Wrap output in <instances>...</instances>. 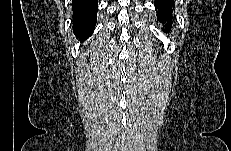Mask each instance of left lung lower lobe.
I'll return each mask as SVG.
<instances>
[{
	"mask_svg": "<svg viewBox=\"0 0 231 151\" xmlns=\"http://www.w3.org/2000/svg\"><path fill=\"white\" fill-rule=\"evenodd\" d=\"M173 0H155V9L157 10V20L165 23L163 30L167 33L172 28V11L174 8Z\"/></svg>",
	"mask_w": 231,
	"mask_h": 151,
	"instance_id": "obj_1",
	"label": "left lung lower lobe"
}]
</instances>
